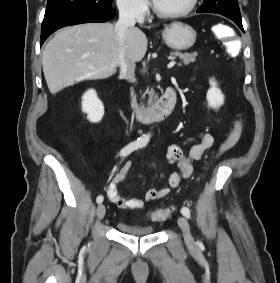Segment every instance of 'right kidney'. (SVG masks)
<instances>
[{
    "label": "right kidney",
    "instance_id": "right-kidney-1",
    "mask_svg": "<svg viewBox=\"0 0 280 283\" xmlns=\"http://www.w3.org/2000/svg\"><path fill=\"white\" fill-rule=\"evenodd\" d=\"M82 111L87 113V118L92 123L100 122L103 118L104 106L95 90L90 89L83 95Z\"/></svg>",
    "mask_w": 280,
    "mask_h": 283
}]
</instances>
